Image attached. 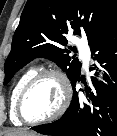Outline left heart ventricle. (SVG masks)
<instances>
[{"label": "left heart ventricle", "instance_id": "1", "mask_svg": "<svg viewBox=\"0 0 117 136\" xmlns=\"http://www.w3.org/2000/svg\"><path fill=\"white\" fill-rule=\"evenodd\" d=\"M61 87L54 77H46L37 82L26 95L23 114L29 120L50 116L61 102Z\"/></svg>", "mask_w": 117, "mask_h": 136}]
</instances>
